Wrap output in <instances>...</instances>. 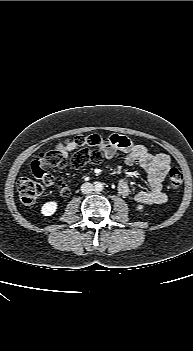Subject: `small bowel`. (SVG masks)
Segmentation results:
<instances>
[{"label": "small bowel", "mask_w": 193, "mask_h": 351, "mask_svg": "<svg viewBox=\"0 0 193 351\" xmlns=\"http://www.w3.org/2000/svg\"><path fill=\"white\" fill-rule=\"evenodd\" d=\"M111 144L102 149L106 159H112L117 151L124 154V161L127 165H139L146 173L150 186L149 190L133 192L130 183L126 179H120L117 183L118 192L125 197L132 196L133 199L145 205H160L166 202L167 195L163 190V181L168 173L171 159L163 153L153 154L147 147L135 144L130 139L121 135H111ZM76 145L72 141H63L56 144L55 149L67 159ZM70 189L67 188V195Z\"/></svg>", "instance_id": "c3829d8e"}]
</instances>
